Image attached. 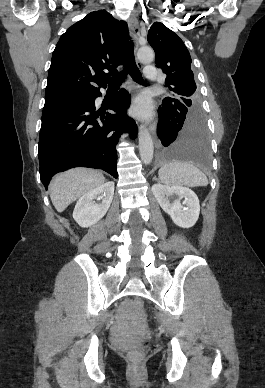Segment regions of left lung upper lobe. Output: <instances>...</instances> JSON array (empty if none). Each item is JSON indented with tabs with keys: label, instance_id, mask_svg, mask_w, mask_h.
<instances>
[{
	"label": "left lung upper lobe",
	"instance_id": "1",
	"mask_svg": "<svg viewBox=\"0 0 265 388\" xmlns=\"http://www.w3.org/2000/svg\"><path fill=\"white\" fill-rule=\"evenodd\" d=\"M148 42L156 55V65L166 74L165 84L172 97L187 108L201 110L200 96L191 70V57L183 41L163 23L155 22L148 31Z\"/></svg>",
	"mask_w": 265,
	"mask_h": 388
}]
</instances>
